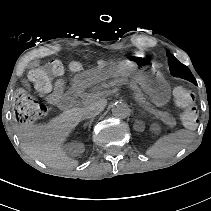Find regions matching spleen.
Listing matches in <instances>:
<instances>
[{
	"instance_id": "spleen-1",
	"label": "spleen",
	"mask_w": 211,
	"mask_h": 211,
	"mask_svg": "<svg viewBox=\"0 0 211 211\" xmlns=\"http://www.w3.org/2000/svg\"><path fill=\"white\" fill-rule=\"evenodd\" d=\"M194 136L193 132L186 129L161 136L147 148L145 154L153 159L168 158L188 146Z\"/></svg>"
}]
</instances>
